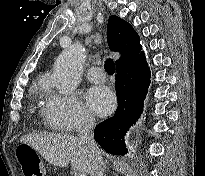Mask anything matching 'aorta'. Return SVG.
Segmentation results:
<instances>
[{"label": "aorta", "instance_id": "762f6f07", "mask_svg": "<svg viewBox=\"0 0 205 176\" xmlns=\"http://www.w3.org/2000/svg\"><path fill=\"white\" fill-rule=\"evenodd\" d=\"M85 61V50L81 44L65 49L54 64V86L61 94H71L78 87Z\"/></svg>", "mask_w": 205, "mask_h": 176}]
</instances>
